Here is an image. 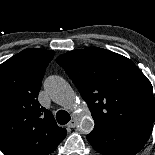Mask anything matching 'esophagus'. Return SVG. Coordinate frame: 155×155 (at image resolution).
Returning <instances> with one entry per match:
<instances>
[{
	"label": "esophagus",
	"instance_id": "obj_1",
	"mask_svg": "<svg viewBox=\"0 0 155 155\" xmlns=\"http://www.w3.org/2000/svg\"><path fill=\"white\" fill-rule=\"evenodd\" d=\"M77 124H78V121H77L76 119H72V120L67 124V126H68L69 128H75V127L77 126Z\"/></svg>",
	"mask_w": 155,
	"mask_h": 155
}]
</instances>
